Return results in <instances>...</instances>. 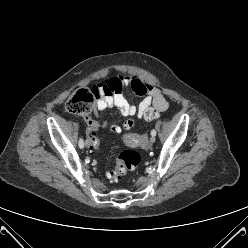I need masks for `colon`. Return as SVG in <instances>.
<instances>
[{"mask_svg": "<svg viewBox=\"0 0 248 248\" xmlns=\"http://www.w3.org/2000/svg\"><path fill=\"white\" fill-rule=\"evenodd\" d=\"M100 94L101 92L97 86L91 90L80 89L68 99L66 109L72 114L86 117L92 111L95 98L100 96ZM144 117L146 120H154L159 117V112L156 109H149L145 112ZM121 126L124 129H133L135 127V119L133 117H126L122 119ZM111 129L117 132L120 126L114 123ZM85 142L90 148H98L101 145V138L95 129H88L85 132ZM141 162L142 156L139 152L136 150H125L119 154L115 165L108 172V177L111 180H118L128 172L136 170Z\"/></svg>", "mask_w": 248, "mask_h": 248, "instance_id": "1", "label": "colon"}]
</instances>
